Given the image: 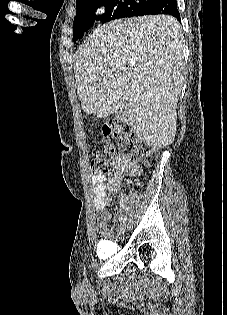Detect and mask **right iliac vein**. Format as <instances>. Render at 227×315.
<instances>
[{"label": "right iliac vein", "instance_id": "63e3f726", "mask_svg": "<svg viewBox=\"0 0 227 315\" xmlns=\"http://www.w3.org/2000/svg\"><path fill=\"white\" fill-rule=\"evenodd\" d=\"M127 228V224L123 222L119 227H118V232L119 233H124Z\"/></svg>", "mask_w": 227, "mask_h": 315}]
</instances>
